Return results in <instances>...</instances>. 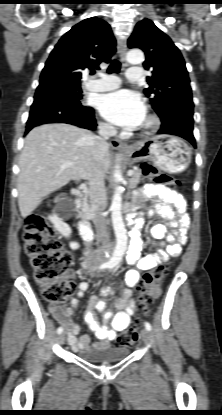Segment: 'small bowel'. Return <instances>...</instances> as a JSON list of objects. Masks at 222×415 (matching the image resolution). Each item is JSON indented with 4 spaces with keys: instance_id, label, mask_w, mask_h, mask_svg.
<instances>
[{
    "instance_id": "c3829d8e",
    "label": "small bowel",
    "mask_w": 222,
    "mask_h": 415,
    "mask_svg": "<svg viewBox=\"0 0 222 415\" xmlns=\"http://www.w3.org/2000/svg\"><path fill=\"white\" fill-rule=\"evenodd\" d=\"M145 199H151L156 203L154 208L148 209L149 214L156 213L166 220L177 223L178 230L176 235L172 236L168 234L167 227L164 224L158 223L153 225L150 228V235L154 241L153 245L156 251L153 254L142 256L143 241L137 232L134 233L128 251L127 261L129 264L135 265V267L126 273L125 282L128 288L123 291L120 298L115 300L116 311H105V301L97 297H92L85 313V322L95 334L96 342H91V337L88 333H84L77 338L79 326L71 320V316L76 313L80 305V300L88 289L87 282L82 281L78 284L77 295L71 299L68 308L63 309L59 306L50 307L51 314L66 328L68 342L75 352L108 348L110 343L116 339L118 333L126 330L130 324V317L134 313L136 305L130 288L139 283L140 272L157 267L170 256H179L182 252L183 245L187 243L186 233L189 228L190 219L187 213V204L183 196L168 187L146 184L140 188L138 194V200ZM135 222L136 228H140L143 224L139 216L135 218ZM70 246L73 250H76L79 244L72 242ZM100 293L102 295H114V292L109 287H102ZM97 312H104L102 322L97 320Z\"/></svg>"
}]
</instances>
